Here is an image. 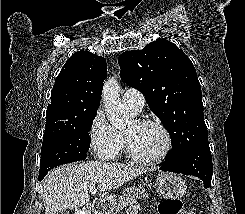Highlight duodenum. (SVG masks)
<instances>
[{"label": "duodenum", "mask_w": 245, "mask_h": 214, "mask_svg": "<svg viewBox=\"0 0 245 214\" xmlns=\"http://www.w3.org/2000/svg\"><path fill=\"white\" fill-rule=\"evenodd\" d=\"M90 209L96 214H101L105 210V202L102 199H96L91 203ZM89 209L83 208L77 214H88Z\"/></svg>", "instance_id": "410a0bca"}]
</instances>
